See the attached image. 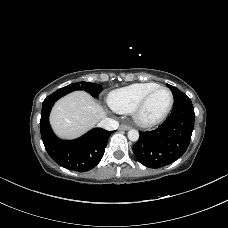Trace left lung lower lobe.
Returning <instances> with one entry per match:
<instances>
[{"mask_svg": "<svg viewBox=\"0 0 228 228\" xmlns=\"http://www.w3.org/2000/svg\"><path fill=\"white\" fill-rule=\"evenodd\" d=\"M194 108L186 94L175 99L168 119L157 129L139 132L133 146L137 160L146 167L160 168L171 164L186 151L193 127Z\"/></svg>", "mask_w": 228, "mask_h": 228, "instance_id": "1", "label": "left lung lower lobe"}]
</instances>
